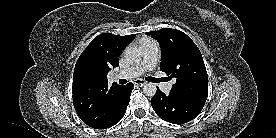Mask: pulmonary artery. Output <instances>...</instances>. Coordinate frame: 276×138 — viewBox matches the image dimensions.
Returning a JSON list of instances; mask_svg holds the SVG:
<instances>
[{
    "instance_id": "pulmonary-artery-1",
    "label": "pulmonary artery",
    "mask_w": 276,
    "mask_h": 138,
    "mask_svg": "<svg viewBox=\"0 0 276 138\" xmlns=\"http://www.w3.org/2000/svg\"><path fill=\"white\" fill-rule=\"evenodd\" d=\"M141 50H142V59L141 61L132 67H129L125 70H121L120 72L115 74V78L117 79H132L140 76L146 71L152 70L159 58V47L158 44L153 41H143L141 43ZM172 82H164L160 85L161 89L168 93L172 88Z\"/></svg>"
}]
</instances>
